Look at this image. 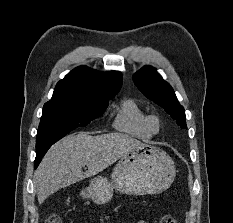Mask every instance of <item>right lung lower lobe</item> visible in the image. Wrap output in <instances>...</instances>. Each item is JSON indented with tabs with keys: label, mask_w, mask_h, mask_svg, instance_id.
I'll return each instance as SVG.
<instances>
[{
	"label": "right lung lower lobe",
	"mask_w": 233,
	"mask_h": 223,
	"mask_svg": "<svg viewBox=\"0 0 233 223\" xmlns=\"http://www.w3.org/2000/svg\"><path fill=\"white\" fill-rule=\"evenodd\" d=\"M50 148V147H49ZM48 148V149H49ZM47 149V150H48ZM47 150L46 151H43V152H41L40 154H37L36 155V159H35V168H37V166L39 165V163H40V161L42 160V158H43V156L45 155V153L47 152Z\"/></svg>",
	"instance_id": "obj_1"
}]
</instances>
